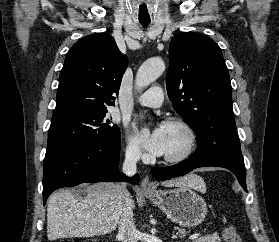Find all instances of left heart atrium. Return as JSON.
<instances>
[{
  "label": "left heart atrium",
  "instance_id": "obj_1",
  "mask_svg": "<svg viewBox=\"0 0 279 242\" xmlns=\"http://www.w3.org/2000/svg\"><path fill=\"white\" fill-rule=\"evenodd\" d=\"M134 139L153 155L161 156L165 153L166 137L162 124L147 126L143 121L137 122L134 125Z\"/></svg>",
  "mask_w": 279,
  "mask_h": 242
}]
</instances>
